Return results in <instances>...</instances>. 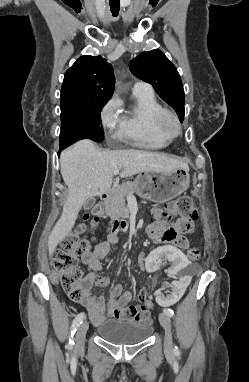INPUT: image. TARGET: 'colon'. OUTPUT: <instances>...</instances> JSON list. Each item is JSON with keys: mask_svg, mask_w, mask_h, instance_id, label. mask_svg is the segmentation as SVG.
I'll list each match as a JSON object with an SVG mask.
<instances>
[{"mask_svg": "<svg viewBox=\"0 0 249 382\" xmlns=\"http://www.w3.org/2000/svg\"><path fill=\"white\" fill-rule=\"evenodd\" d=\"M102 212V205H96L87 215L85 221L91 225L97 223ZM154 213L162 219L176 214L198 217L197 210L188 196L178 197L168 202L164 207L155 208ZM84 226V224L78 225L76 228L77 233L81 232ZM77 233L69 235L63 241L62 248L55 252L54 267L61 273V285L68 297L75 302H81L86 297V285L83 281L84 273L78 265V257L89 251L91 244L88 240L80 238ZM187 256L191 260H197L200 256V251L197 248H190L187 251ZM138 299L142 304L147 301L144 289L139 292Z\"/></svg>", "mask_w": 249, "mask_h": 382, "instance_id": "obj_1", "label": "colon"}]
</instances>
